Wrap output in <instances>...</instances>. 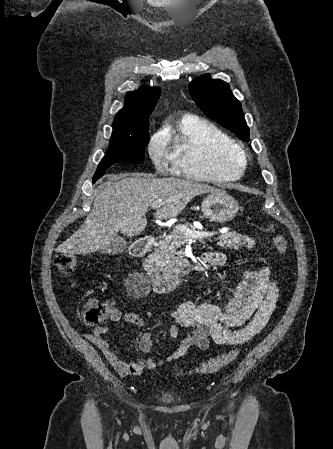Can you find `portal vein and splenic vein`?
<instances>
[{
    "label": "portal vein and splenic vein",
    "mask_w": 333,
    "mask_h": 449,
    "mask_svg": "<svg viewBox=\"0 0 333 449\" xmlns=\"http://www.w3.org/2000/svg\"><path fill=\"white\" fill-rule=\"evenodd\" d=\"M161 205H162V200H158L157 202L152 203L151 208L158 209L161 207ZM176 229L183 232L185 235H187L191 239H202V238H207V237H211L214 235L213 233H210V232L190 230L183 225L176 226Z\"/></svg>",
    "instance_id": "obj_1"
}]
</instances>
